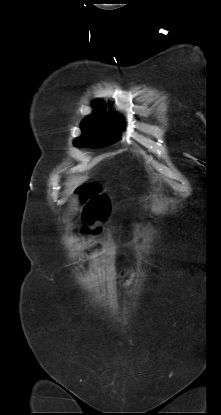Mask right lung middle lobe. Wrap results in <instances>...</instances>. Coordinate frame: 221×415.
<instances>
[{
	"label": "right lung middle lobe",
	"instance_id": "dd1d6c3e",
	"mask_svg": "<svg viewBox=\"0 0 221 415\" xmlns=\"http://www.w3.org/2000/svg\"><path fill=\"white\" fill-rule=\"evenodd\" d=\"M83 134L75 139L74 145L82 147H103L118 141L121 120L115 112L96 110L81 123Z\"/></svg>",
	"mask_w": 221,
	"mask_h": 415
}]
</instances>
